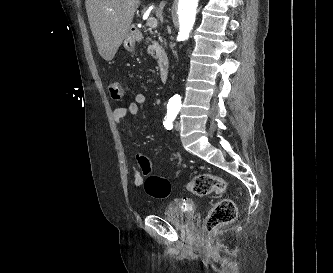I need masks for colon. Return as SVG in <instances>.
<instances>
[{
	"label": "colon",
	"instance_id": "1",
	"mask_svg": "<svg viewBox=\"0 0 333 273\" xmlns=\"http://www.w3.org/2000/svg\"><path fill=\"white\" fill-rule=\"evenodd\" d=\"M109 92L114 100H121L124 95L123 87L119 82L109 85ZM140 171L147 175L151 171V161L146 156L137 158ZM146 192L158 199L167 198L171 193L170 182L159 175H150L144 184ZM188 190L196 196L221 194L226 189L225 180L217 175L203 173L195 176L187 185ZM237 208L233 200L229 198L219 199L210 209L203 223L205 233L211 234L220 226L229 224L236 218Z\"/></svg>",
	"mask_w": 333,
	"mask_h": 273
}]
</instances>
